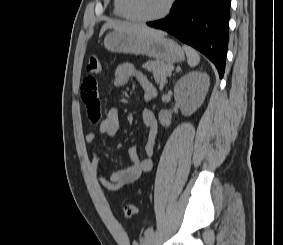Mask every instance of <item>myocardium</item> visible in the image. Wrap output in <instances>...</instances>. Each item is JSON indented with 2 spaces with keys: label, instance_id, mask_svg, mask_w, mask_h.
Instances as JSON below:
<instances>
[{
  "label": "myocardium",
  "instance_id": "myocardium-1",
  "mask_svg": "<svg viewBox=\"0 0 283 245\" xmlns=\"http://www.w3.org/2000/svg\"><path fill=\"white\" fill-rule=\"evenodd\" d=\"M174 3H175V0H167V3L165 5L164 9L159 14H157L155 16H151V17H143V16H140V15H137L134 12V10L132 8L131 0H124L125 10H126L127 14L130 16V18L132 20H136V21H139V22H146V23L158 21V20H161L164 17H166L170 13Z\"/></svg>",
  "mask_w": 283,
  "mask_h": 245
}]
</instances>
